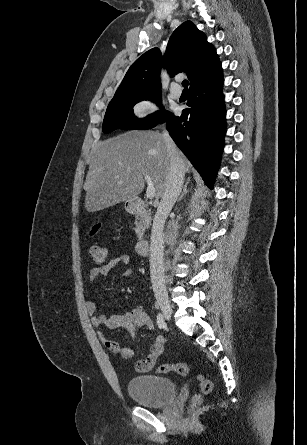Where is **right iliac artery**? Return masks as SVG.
<instances>
[{
	"mask_svg": "<svg viewBox=\"0 0 307 445\" xmlns=\"http://www.w3.org/2000/svg\"><path fill=\"white\" fill-rule=\"evenodd\" d=\"M157 325L159 328H164L165 327V321L163 318V315L161 313H159L157 315Z\"/></svg>",
	"mask_w": 307,
	"mask_h": 445,
	"instance_id": "1",
	"label": "right iliac artery"
}]
</instances>
